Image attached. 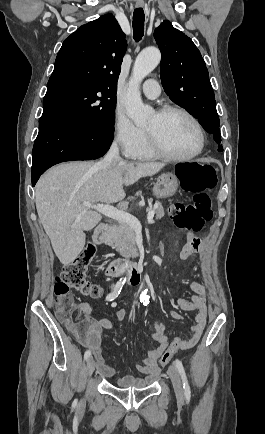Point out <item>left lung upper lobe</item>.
<instances>
[{"instance_id":"left-lung-upper-lobe-1","label":"left lung upper lobe","mask_w":265,"mask_h":434,"mask_svg":"<svg viewBox=\"0 0 265 434\" xmlns=\"http://www.w3.org/2000/svg\"><path fill=\"white\" fill-rule=\"evenodd\" d=\"M154 38L162 54L160 76L166 94L196 117L220 143L215 96L200 51L189 37L167 20L155 29Z\"/></svg>"}]
</instances>
